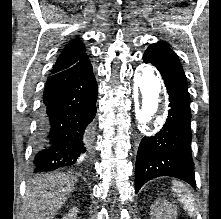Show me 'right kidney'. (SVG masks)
<instances>
[{
	"mask_svg": "<svg viewBox=\"0 0 221 219\" xmlns=\"http://www.w3.org/2000/svg\"><path fill=\"white\" fill-rule=\"evenodd\" d=\"M77 212V208H72L62 219H77Z\"/></svg>",
	"mask_w": 221,
	"mask_h": 219,
	"instance_id": "obj_1",
	"label": "right kidney"
}]
</instances>
